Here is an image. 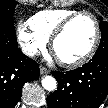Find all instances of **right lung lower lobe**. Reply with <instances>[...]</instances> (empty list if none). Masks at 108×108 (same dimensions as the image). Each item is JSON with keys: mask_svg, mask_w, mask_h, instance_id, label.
I'll use <instances>...</instances> for the list:
<instances>
[{"mask_svg": "<svg viewBox=\"0 0 108 108\" xmlns=\"http://www.w3.org/2000/svg\"><path fill=\"white\" fill-rule=\"evenodd\" d=\"M39 74L38 64L18 48L15 29L0 26V108H14L23 85Z\"/></svg>", "mask_w": 108, "mask_h": 108, "instance_id": "1", "label": "right lung lower lobe"}]
</instances>
